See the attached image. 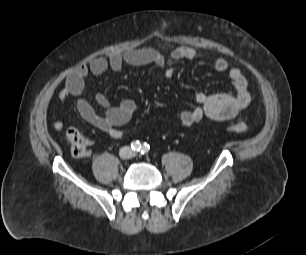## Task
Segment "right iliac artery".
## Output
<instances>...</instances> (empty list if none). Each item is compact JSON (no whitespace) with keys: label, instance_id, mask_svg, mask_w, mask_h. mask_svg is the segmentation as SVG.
Here are the masks:
<instances>
[{"label":"right iliac artery","instance_id":"right-iliac-artery-1","mask_svg":"<svg viewBox=\"0 0 306 255\" xmlns=\"http://www.w3.org/2000/svg\"><path fill=\"white\" fill-rule=\"evenodd\" d=\"M141 147H142V145L140 144V142L139 141H133L132 143H131V148H132V150H134V151H140V149H141Z\"/></svg>","mask_w":306,"mask_h":255}]
</instances>
